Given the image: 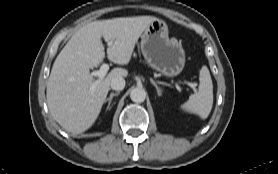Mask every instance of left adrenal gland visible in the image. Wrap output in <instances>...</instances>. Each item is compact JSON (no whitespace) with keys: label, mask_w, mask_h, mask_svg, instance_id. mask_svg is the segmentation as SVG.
I'll list each match as a JSON object with an SVG mask.
<instances>
[{"label":"left adrenal gland","mask_w":278,"mask_h":174,"mask_svg":"<svg viewBox=\"0 0 278 174\" xmlns=\"http://www.w3.org/2000/svg\"><path fill=\"white\" fill-rule=\"evenodd\" d=\"M150 81L155 86L158 96H161V88L157 86V84L152 78H150Z\"/></svg>","instance_id":"obj_1"}]
</instances>
